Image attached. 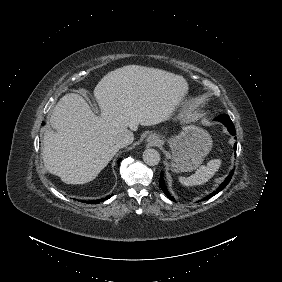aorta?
Instances as JSON below:
<instances>
[{
  "mask_svg": "<svg viewBox=\"0 0 282 282\" xmlns=\"http://www.w3.org/2000/svg\"><path fill=\"white\" fill-rule=\"evenodd\" d=\"M143 160L149 166L158 165L160 162V154L155 149H151V148L146 149L143 152Z\"/></svg>",
  "mask_w": 282,
  "mask_h": 282,
  "instance_id": "obj_1",
  "label": "aorta"
}]
</instances>
